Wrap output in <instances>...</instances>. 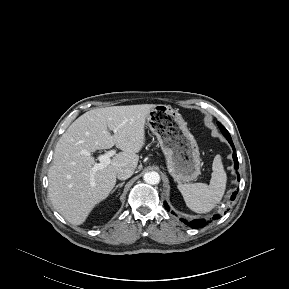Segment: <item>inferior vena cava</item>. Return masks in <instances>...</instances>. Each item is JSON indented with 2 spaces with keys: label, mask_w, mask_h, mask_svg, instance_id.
I'll use <instances>...</instances> for the list:
<instances>
[{
  "label": "inferior vena cava",
  "mask_w": 289,
  "mask_h": 289,
  "mask_svg": "<svg viewBox=\"0 0 289 289\" xmlns=\"http://www.w3.org/2000/svg\"><path fill=\"white\" fill-rule=\"evenodd\" d=\"M133 173H134L133 168H122L118 171L117 178L119 180H126L130 178L133 175Z\"/></svg>",
  "instance_id": "inferior-vena-cava-1"
}]
</instances>
